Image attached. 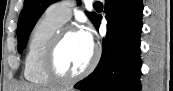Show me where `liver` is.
<instances>
[{
	"label": "liver",
	"instance_id": "obj_1",
	"mask_svg": "<svg viewBox=\"0 0 173 91\" xmlns=\"http://www.w3.org/2000/svg\"><path fill=\"white\" fill-rule=\"evenodd\" d=\"M14 91H52V90H46V89H40L37 86L25 83L21 84L19 86H16Z\"/></svg>",
	"mask_w": 173,
	"mask_h": 91
}]
</instances>
